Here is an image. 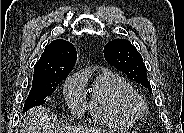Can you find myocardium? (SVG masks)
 Listing matches in <instances>:
<instances>
[{
  "instance_id": "f54148a6",
  "label": "myocardium",
  "mask_w": 184,
  "mask_h": 133,
  "mask_svg": "<svg viewBox=\"0 0 184 133\" xmlns=\"http://www.w3.org/2000/svg\"><path fill=\"white\" fill-rule=\"evenodd\" d=\"M123 108L136 119L141 117L147 109L145 100L137 93H131L123 98Z\"/></svg>"
}]
</instances>
